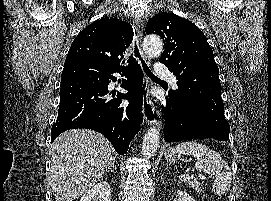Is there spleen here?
<instances>
[{
    "mask_svg": "<svg viewBox=\"0 0 271 201\" xmlns=\"http://www.w3.org/2000/svg\"><path fill=\"white\" fill-rule=\"evenodd\" d=\"M175 152L178 154H189L197 159L195 168L199 172H205L214 176L212 184V192L218 196L226 193L231 185V170L229 165L223 158L214 150L208 148L204 144L195 141H186L178 144L175 147ZM180 180L188 183L193 187L194 182L187 174H182ZM196 182V181H195Z\"/></svg>",
    "mask_w": 271,
    "mask_h": 201,
    "instance_id": "3e777b00",
    "label": "spleen"
}]
</instances>
